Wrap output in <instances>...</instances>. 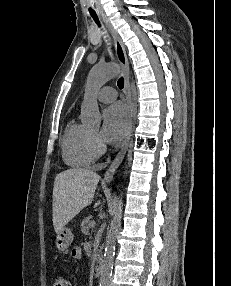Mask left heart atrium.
<instances>
[{
  "instance_id": "1",
  "label": "left heart atrium",
  "mask_w": 231,
  "mask_h": 286,
  "mask_svg": "<svg viewBox=\"0 0 231 286\" xmlns=\"http://www.w3.org/2000/svg\"><path fill=\"white\" fill-rule=\"evenodd\" d=\"M129 113L121 103H115L105 109L100 132L102 141L109 144L119 142L126 134Z\"/></svg>"
}]
</instances>
